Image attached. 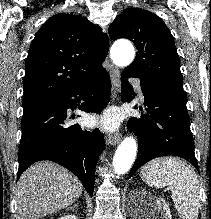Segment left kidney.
<instances>
[{
    "instance_id": "1",
    "label": "left kidney",
    "mask_w": 211,
    "mask_h": 219,
    "mask_svg": "<svg viewBox=\"0 0 211 219\" xmlns=\"http://www.w3.org/2000/svg\"><path fill=\"white\" fill-rule=\"evenodd\" d=\"M142 193L144 195H147L149 197V199H151L152 202V209L147 212L145 214V217L147 219H157V218H161V219H171L172 215L170 212V209L166 203V201L163 198H157L156 200H154L150 194H148V192H146L145 190H142Z\"/></svg>"
}]
</instances>
